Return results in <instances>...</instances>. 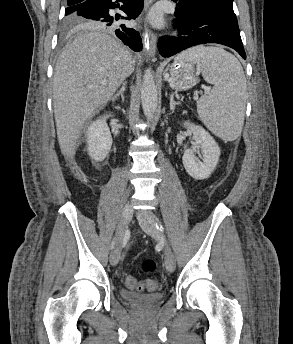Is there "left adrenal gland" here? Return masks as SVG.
I'll return each mask as SVG.
<instances>
[{
    "label": "left adrenal gland",
    "mask_w": 293,
    "mask_h": 344,
    "mask_svg": "<svg viewBox=\"0 0 293 344\" xmlns=\"http://www.w3.org/2000/svg\"><path fill=\"white\" fill-rule=\"evenodd\" d=\"M179 104H180L179 102L174 101V95L171 94V95H170V110H171L172 112H174L175 107H176L177 105H179Z\"/></svg>",
    "instance_id": "left-adrenal-gland-1"
}]
</instances>
